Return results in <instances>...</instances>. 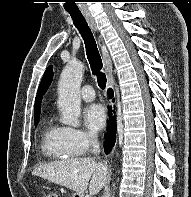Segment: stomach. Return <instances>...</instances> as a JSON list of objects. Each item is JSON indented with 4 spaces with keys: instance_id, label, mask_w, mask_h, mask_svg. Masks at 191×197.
I'll use <instances>...</instances> for the list:
<instances>
[{
    "instance_id": "1",
    "label": "stomach",
    "mask_w": 191,
    "mask_h": 197,
    "mask_svg": "<svg viewBox=\"0 0 191 197\" xmlns=\"http://www.w3.org/2000/svg\"><path fill=\"white\" fill-rule=\"evenodd\" d=\"M72 197H83L81 194L75 193Z\"/></svg>"
}]
</instances>
